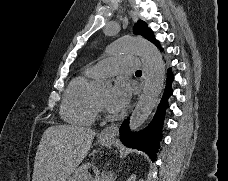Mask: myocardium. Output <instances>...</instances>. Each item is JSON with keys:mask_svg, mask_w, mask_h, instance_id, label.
Here are the masks:
<instances>
[{"mask_svg": "<svg viewBox=\"0 0 228 181\" xmlns=\"http://www.w3.org/2000/svg\"><path fill=\"white\" fill-rule=\"evenodd\" d=\"M97 105H98V107H99L101 110L104 109V104H103V102H101L100 100H97Z\"/></svg>", "mask_w": 228, "mask_h": 181, "instance_id": "obj_1", "label": "myocardium"}]
</instances>
